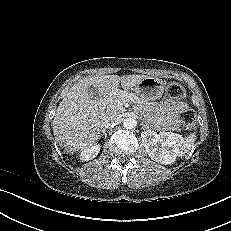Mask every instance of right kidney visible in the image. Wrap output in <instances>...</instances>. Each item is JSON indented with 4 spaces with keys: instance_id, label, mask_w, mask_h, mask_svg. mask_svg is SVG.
Wrapping results in <instances>:
<instances>
[{
    "instance_id": "obj_1",
    "label": "right kidney",
    "mask_w": 231,
    "mask_h": 231,
    "mask_svg": "<svg viewBox=\"0 0 231 231\" xmlns=\"http://www.w3.org/2000/svg\"><path fill=\"white\" fill-rule=\"evenodd\" d=\"M100 151V144H93L90 147L82 150L79 157L82 161H88L95 158Z\"/></svg>"
}]
</instances>
